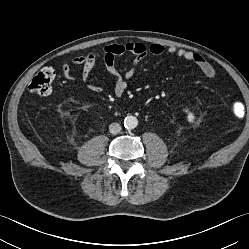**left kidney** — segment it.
I'll list each match as a JSON object with an SVG mask.
<instances>
[{"label": "left kidney", "mask_w": 249, "mask_h": 249, "mask_svg": "<svg viewBox=\"0 0 249 249\" xmlns=\"http://www.w3.org/2000/svg\"><path fill=\"white\" fill-rule=\"evenodd\" d=\"M183 111H184L185 113H187V120H188L189 122H193L194 119H195L193 113L190 112L189 109H186V108L183 109Z\"/></svg>", "instance_id": "left-kidney-1"}]
</instances>
